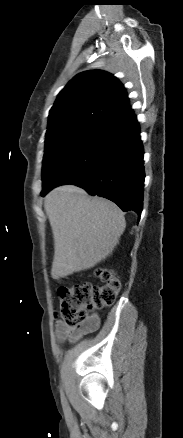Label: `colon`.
<instances>
[{
  "instance_id": "5ec220e1",
  "label": "colon",
  "mask_w": 183,
  "mask_h": 438,
  "mask_svg": "<svg viewBox=\"0 0 183 438\" xmlns=\"http://www.w3.org/2000/svg\"><path fill=\"white\" fill-rule=\"evenodd\" d=\"M96 276L102 281L101 285L84 282L59 288L60 316L67 326H82L89 311L111 305L115 301L121 289V281L115 272L99 268Z\"/></svg>"
}]
</instances>
